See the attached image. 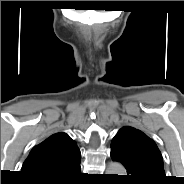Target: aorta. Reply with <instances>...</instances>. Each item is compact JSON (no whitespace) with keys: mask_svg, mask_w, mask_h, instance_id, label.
Listing matches in <instances>:
<instances>
[{"mask_svg":"<svg viewBox=\"0 0 184 184\" xmlns=\"http://www.w3.org/2000/svg\"><path fill=\"white\" fill-rule=\"evenodd\" d=\"M107 172L108 174L124 175L125 170L120 163L113 162L108 166Z\"/></svg>","mask_w":184,"mask_h":184,"instance_id":"aorta-1","label":"aorta"}]
</instances>
